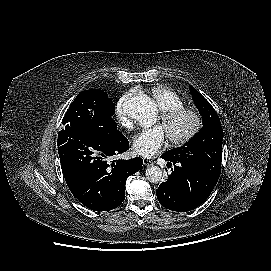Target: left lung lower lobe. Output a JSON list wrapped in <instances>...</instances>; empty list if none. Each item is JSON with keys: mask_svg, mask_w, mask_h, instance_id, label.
<instances>
[{"mask_svg": "<svg viewBox=\"0 0 271 271\" xmlns=\"http://www.w3.org/2000/svg\"><path fill=\"white\" fill-rule=\"evenodd\" d=\"M172 166V173L156 190L159 203L170 210L187 212L200 206L214 189L218 179L203 170L175 161L168 153L161 156Z\"/></svg>", "mask_w": 271, "mask_h": 271, "instance_id": "obj_1", "label": "left lung lower lobe"}]
</instances>
